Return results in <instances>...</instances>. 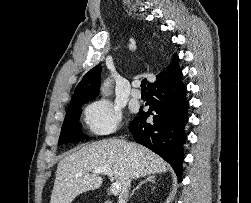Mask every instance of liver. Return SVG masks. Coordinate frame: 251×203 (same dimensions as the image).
Returning a JSON list of instances; mask_svg holds the SVG:
<instances>
[{"label":"liver","instance_id":"6515ba94","mask_svg":"<svg viewBox=\"0 0 251 203\" xmlns=\"http://www.w3.org/2000/svg\"><path fill=\"white\" fill-rule=\"evenodd\" d=\"M108 167L124 187L128 179L165 173L166 162L149 149L119 139H103L69 154L59 163L50 203H71L79 194L96 190L102 179L93 171Z\"/></svg>","mask_w":251,"mask_h":203}]
</instances>
